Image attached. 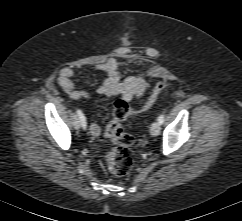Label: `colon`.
Listing matches in <instances>:
<instances>
[{"label":"colon","mask_w":242,"mask_h":221,"mask_svg":"<svg viewBox=\"0 0 242 221\" xmlns=\"http://www.w3.org/2000/svg\"><path fill=\"white\" fill-rule=\"evenodd\" d=\"M166 86L165 82L158 83L141 111L148 110ZM137 112L139 111L133 109L126 100L121 98L115 102L111 118L107 124L106 134L113 146L103 155L102 159L104 166L116 176H125L132 169L133 153L131 146L134 143V138L123 130L122 123Z\"/></svg>","instance_id":"obj_1"}]
</instances>
